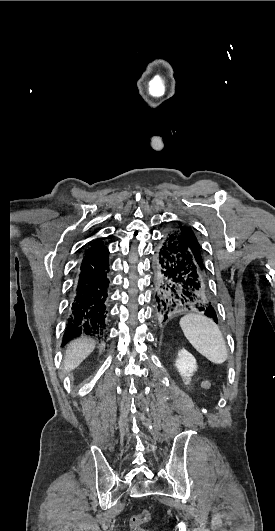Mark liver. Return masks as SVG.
<instances>
[{
	"instance_id": "6515ba94",
	"label": "liver",
	"mask_w": 275,
	"mask_h": 531,
	"mask_svg": "<svg viewBox=\"0 0 275 531\" xmlns=\"http://www.w3.org/2000/svg\"><path fill=\"white\" fill-rule=\"evenodd\" d=\"M94 349L95 341L88 339V337H81V339H75V341L69 343L65 353L64 373H68V371H73V369L79 367L80 363L86 357H89Z\"/></svg>"
}]
</instances>
